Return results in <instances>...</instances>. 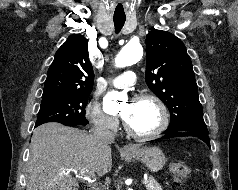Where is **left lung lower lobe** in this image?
<instances>
[{"mask_svg":"<svg viewBox=\"0 0 238 190\" xmlns=\"http://www.w3.org/2000/svg\"><path fill=\"white\" fill-rule=\"evenodd\" d=\"M164 136L160 139H167L177 136H195L204 141L210 146V140L208 137V130L204 123H193V124H181L175 127H170L163 132Z\"/></svg>","mask_w":238,"mask_h":190,"instance_id":"0a47b994","label":"left lung lower lobe"}]
</instances>
